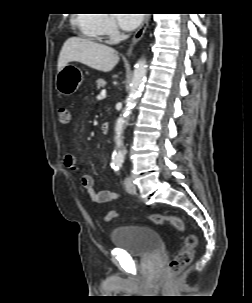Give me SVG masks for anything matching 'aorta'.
Instances as JSON below:
<instances>
[{
  "instance_id": "762f6f07",
  "label": "aorta",
  "mask_w": 252,
  "mask_h": 303,
  "mask_svg": "<svg viewBox=\"0 0 252 303\" xmlns=\"http://www.w3.org/2000/svg\"><path fill=\"white\" fill-rule=\"evenodd\" d=\"M147 66L146 60L140 59L136 65L133 72V78L131 81V87L129 95L126 99V106L117 120L115 127V144L116 149L112 155V164L114 166H119L123 163L125 158V149L123 147L122 134L123 129L126 125L127 119L132 113L138 98L141 95L142 87L146 78Z\"/></svg>"
}]
</instances>
